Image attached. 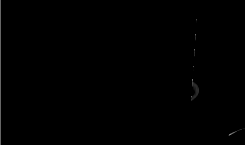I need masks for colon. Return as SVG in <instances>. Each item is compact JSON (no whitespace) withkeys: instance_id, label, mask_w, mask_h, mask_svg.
Returning a JSON list of instances; mask_svg holds the SVG:
<instances>
[{"instance_id":"colon-1","label":"colon","mask_w":245,"mask_h":145,"mask_svg":"<svg viewBox=\"0 0 245 145\" xmlns=\"http://www.w3.org/2000/svg\"><path fill=\"white\" fill-rule=\"evenodd\" d=\"M150 18L151 17L148 14L145 15L138 14L133 17V21L136 23L148 24L150 22ZM154 26L157 27L156 24H154ZM191 37L194 41L196 38L194 32L192 33ZM193 50L197 53L203 54L205 58L201 64L200 72L197 75L193 74L192 77L195 78L200 85H206L210 80V72L214 60L213 55L209 51V46L206 39L204 38L199 39L198 44L193 47Z\"/></svg>"}]
</instances>
